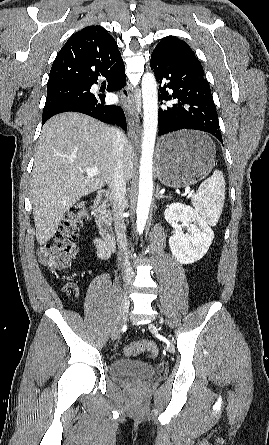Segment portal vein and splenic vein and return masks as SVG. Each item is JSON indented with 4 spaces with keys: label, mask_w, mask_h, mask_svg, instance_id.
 <instances>
[{
    "label": "portal vein and splenic vein",
    "mask_w": 269,
    "mask_h": 445,
    "mask_svg": "<svg viewBox=\"0 0 269 445\" xmlns=\"http://www.w3.org/2000/svg\"><path fill=\"white\" fill-rule=\"evenodd\" d=\"M85 172L87 173L88 176H95V175H99L100 174L98 168H96V167L86 168ZM185 192L190 194V187H187L185 189Z\"/></svg>",
    "instance_id": "18ae733b"
}]
</instances>
